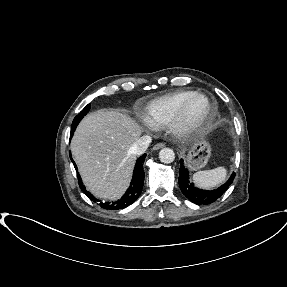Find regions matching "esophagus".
<instances>
[{
    "mask_svg": "<svg viewBox=\"0 0 287 287\" xmlns=\"http://www.w3.org/2000/svg\"><path fill=\"white\" fill-rule=\"evenodd\" d=\"M163 147H165L164 143H157L153 146V150H158V149H161Z\"/></svg>",
    "mask_w": 287,
    "mask_h": 287,
    "instance_id": "1",
    "label": "esophagus"
}]
</instances>
